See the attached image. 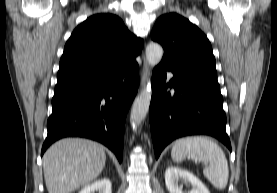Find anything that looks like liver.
Returning <instances> with one entry per match:
<instances>
[{"label":"liver","instance_id":"liver-1","mask_svg":"<svg viewBox=\"0 0 277 193\" xmlns=\"http://www.w3.org/2000/svg\"><path fill=\"white\" fill-rule=\"evenodd\" d=\"M106 162L104 147L82 138H65L54 143L43 156L48 193H71L89 185Z\"/></svg>","mask_w":277,"mask_h":193}]
</instances>
